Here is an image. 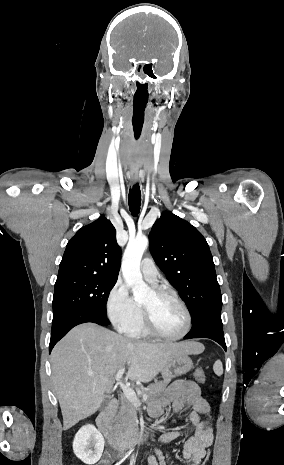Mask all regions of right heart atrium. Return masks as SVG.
<instances>
[{"label": "right heart atrium", "instance_id": "right-heart-atrium-1", "mask_svg": "<svg viewBox=\"0 0 284 465\" xmlns=\"http://www.w3.org/2000/svg\"><path fill=\"white\" fill-rule=\"evenodd\" d=\"M105 311L111 323L117 324L122 331L134 324L141 313L140 307L130 297L126 284L120 280L107 295Z\"/></svg>", "mask_w": 284, "mask_h": 465}]
</instances>
